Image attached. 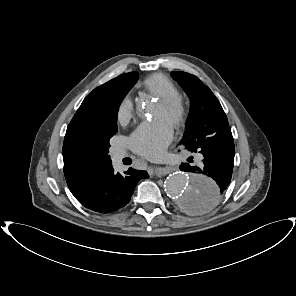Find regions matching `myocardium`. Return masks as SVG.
<instances>
[{
    "instance_id": "myocardium-1",
    "label": "myocardium",
    "mask_w": 296,
    "mask_h": 296,
    "mask_svg": "<svg viewBox=\"0 0 296 296\" xmlns=\"http://www.w3.org/2000/svg\"><path fill=\"white\" fill-rule=\"evenodd\" d=\"M159 103L165 109L171 125L180 127L186 121L188 108L180 96L160 98Z\"/></svg>"
}]
</instances>
